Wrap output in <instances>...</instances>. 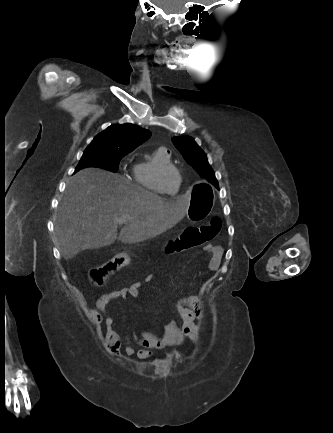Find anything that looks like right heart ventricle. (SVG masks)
Here are the masks:
<instances>
[{
  "label": "right heart ventricle",
  "instance_id": "right-heart-ventricle-1",
  "mask_svg": "<svg viewBox=\"0 0 333 433\" xmlns=\"http://www.w3.org/2000/svg\"><path fill=\"white\" fill-rule=\"evenodd\" d=\"M171 164V156L163 148L157 149L152 159L148 161H140L135 165L134 168V180L142 188L156 194L163 195V191L160 189L156 181V173L159 167L163 165ZM178 191L180 188V181L178 182Z\"/></svg>",
  "mask_w": 333,
  "mask_h": 433
}]
</instances>
